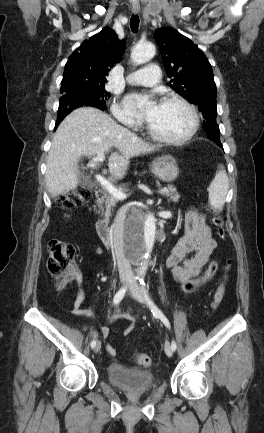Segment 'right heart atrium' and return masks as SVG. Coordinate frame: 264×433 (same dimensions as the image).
<instances>
[{"label":"right heart atrium","instance_id":"1","mask_svg":"<svg viewBox=\"0 0 264 433\" xmlns=\"http://www.w3.org/2000/svg\"><path fill=\"white\" fill-rule=\"evenodd\" d=\"M113 116L121 123L127 126H136L138 121L134 115L121 103L115 102L111 108Z\"/></svg>","mask_w":264,"mask_h":433}]
</instances>
